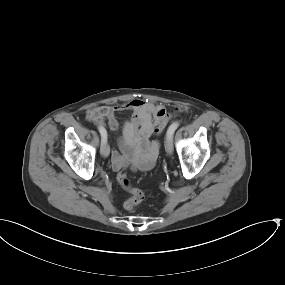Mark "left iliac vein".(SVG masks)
Instances as JSON below:
<instances>
[{"mask_svg":"<svg viewBox=\"0 0 285 285\" xmlns=\"http://www.w3.org/2000/svg\"><path fill=\"white\" fill-rule=\"evenodd\" d=\"M165 150L168 154L173 153L172 135H167L165 139Z\"/></svg>","mask_w":285,"mask_h":285,"instance_id":"1","label":"left iliac vein"}]
</instances>
